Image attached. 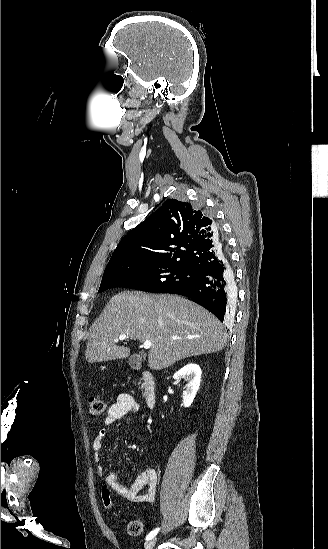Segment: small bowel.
<instances>
[{
    "label": "small bowel",
    "instance_id": "1",
    "mask_svg": "<svg viewBox=\"0 0 328 549\" xmlns=\"http://www.w3.org/2000/svg\"><path fill=\"white\" fill-rule=\"evenodd\" d=\"M139 410V404L128 393H120L117 395L115 402L109 407L106 418L105 427L100 429L94 439L93 457L97 466V474L104 477L105 484L116 492L120 497L133 503H151L156 498L157 488V472L154 467H147L140 478L130 485L124 486L121 484V477L115 472L105 474L103 467L100 465L102 454L101 449L107 437V427L117 421L122 420L127 414L134 413Z\"/></svg>",
    "mask_w": 328,
    "mask_h": 549
}]
</instances>
